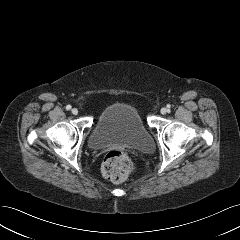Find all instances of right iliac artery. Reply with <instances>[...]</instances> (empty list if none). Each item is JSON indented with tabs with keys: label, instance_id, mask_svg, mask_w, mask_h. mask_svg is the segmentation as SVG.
I'll return each mask as SVG.
<instances>
[{
	"label": "right iliac artery",
	"instance_id": "82829eb1",
	"mask_svg": "<svg viewBox=\"0 0 240 240\" xmlns=\"http://www.w3.org/2000/svg\"><path fill=\"white\" fill-rule=\"evenodd\" d=\"M71 108H72L71 105H67V106H66V110H70Z\"/></svg>",
	"mask_w": 240,
	"mask_h": 240
}]
</instances>
